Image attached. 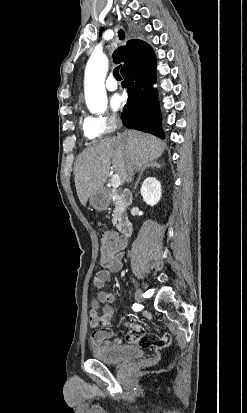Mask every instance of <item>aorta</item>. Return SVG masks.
Wrapping results in <instances>:
<instances>
[{"label": "aorta", "instance_id": "obj_1", "mask_svg": "<svg viewBox=\"0 0 247 413\" xmlns=\"http://www.w3.org/2000/svg\"><path fill=\"white\" fill-rule=\"evenodd\" d=\"M108 70V59L102 53H94L89 58L84 76L86 105L90 112L101 114L107 108V94L104 81Z\"/></svg>", "mask_w": 247, "mask_h": 413}]
</instances>
